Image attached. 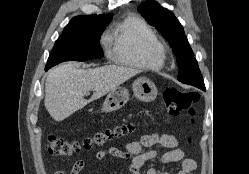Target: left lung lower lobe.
Returning <instances> with one entry per match:
<instances>
[{
	"instance_id": "0a47b994",
	"label": "left lung lower lobe",
	"mask_w": 249,
	"mask_h": 174,
	"mask_svg": "<svg viewBox=\"0 0 249 174\" xmlns=\"http://www.w3.org/2000/svg\"><path fill=\"white\" fill-rule=\"evenodd\" d=\"M193 86L200 88L202 90H205V85H204V81L200 82L199 84H194Z\"/></svg>"
}]
</instances>
